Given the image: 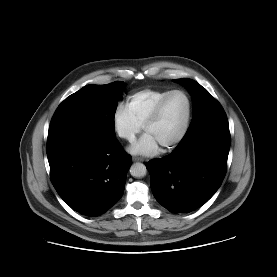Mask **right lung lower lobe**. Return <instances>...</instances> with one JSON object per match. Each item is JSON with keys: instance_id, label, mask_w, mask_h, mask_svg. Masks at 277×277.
<instances>
[{"instance_id": "obj_1", "label": "right lung lower lobe", "mask_w": 277, "mask_h": 277, "mask_svg": "<svg viewBox=\"0 0 277 277\" xmlns=\"http://www.w3.org/2000/svg\"><path fill=\"white\" fill-rule=\"evenodd\" d=\"M51 181L75 211L96 217L123 195L132 158L115 135L77 115L55 114L47 138Z\"/></svg>"}]
</instances>
